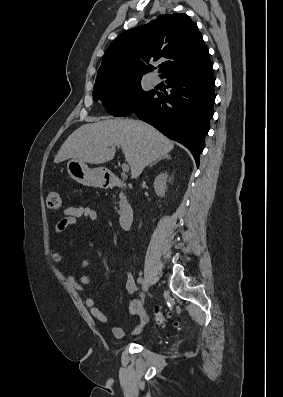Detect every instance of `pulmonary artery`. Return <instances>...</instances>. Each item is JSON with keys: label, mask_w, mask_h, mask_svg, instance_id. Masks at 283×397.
Masks as SVG:
<instances>
[{"label": "pulmonary artery", "mask_w": 283, "mask_h": 397, "mask_svg": "<svg viewBox=\"0 0 283 397\" xmlns=\"http://www.w3.org/2000/svg\"><path fill=\"white\" fill-rule=\"evenodd\" d=\"M151 82H152L153 84L157 85V84H159V83L161 82V79H160L159 76H153V77L151 78Z\"/></svg>", "instance_id": "1"}]
</instances>
